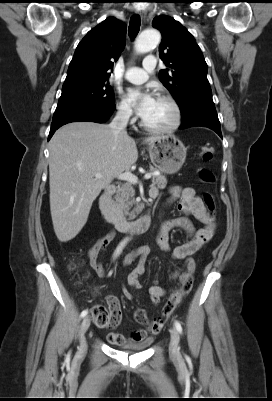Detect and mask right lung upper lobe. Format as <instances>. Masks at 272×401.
<instances>
[{"mask_svg":"<svg viewBox=\"0 0 272 401\" xmlns=\"http://www.w3.org/2000/svg\"><path fill=\"white\" fill-rule=\"evenodd\" d=\"M126 25L109 17L90 30L78 44L62 90L106 81L125 47Z\"/></svg>","mask_w":272,"mask_h":401,"instance_id":"cb5924a9","label":"right lung upper lobe"}]
</instances>
